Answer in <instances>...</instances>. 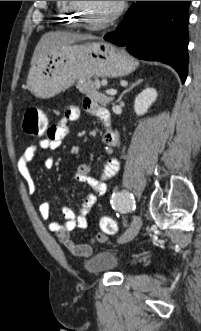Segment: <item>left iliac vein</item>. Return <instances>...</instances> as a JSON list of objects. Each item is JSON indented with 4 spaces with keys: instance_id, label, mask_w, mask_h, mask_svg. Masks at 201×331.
I'll list each match as a JSON object with an SVG mask.
<instances>
[{
    "instance_id": "4c4485c4",
    "label": "left iliac vein",
    "mask_w": 201,
    "mask_h": 331,
    "mask_svg": "<svg viewBox=\"0 0 201 331\" xmlns=\"http://www.w3.org/2000/svg\"><path fill=\"white\" fill-rule=\"evenodd\" d=\"M142 226V220L139 215L135 216L131 226L127 229V231L121 235L118 239V243H127L135 238L138 234L140 228Z\"/></svg>"
}]
</instances>
